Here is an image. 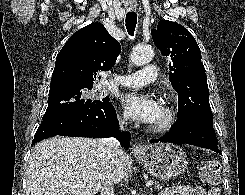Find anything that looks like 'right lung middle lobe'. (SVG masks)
Returning <instances> with one entry per match:
<instances>
[{
  "label": "right lung middle lobe",
  "instance_id": "dd1d6c3e",
  "mask_svg": "<svg viewBox=\"0 0 245 195\" xmlns=\"http://www.w3.org/2000/svg\"><path fill=\"white\" fill-rule=\"evenodd\" d=\"M92 88L93 86L71 87L50 93L43 121L65 112L87 109L98 102L110 100L109 97L90 99L88 90Z\"/></svg>",
  "mask_w": 245,
  "mask_h": 195
}]
</instances>
